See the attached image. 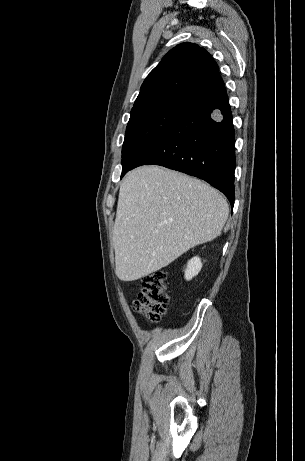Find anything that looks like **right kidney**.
<instances>
[{
    "instance_id": "right-kidney-1",
    "label": "right kidney",
    "mask_w": 305,
    "mask_h": 461,
    "mask_svg": "<svg viewBox=\"0 0 305 461\" xmlns=\"http://www.w3.org/2000/svg\"><path fill=\"white\" fill-rule=\"evenodd\" d=\"M201 268V259L198 256L193 257L191 260H189L187 268L185 269V279L188 281L191 280L193 277L198 275Z\"/></svg>"
}]
</instances>
